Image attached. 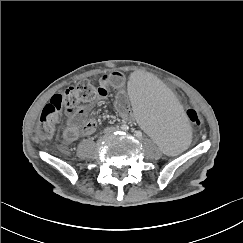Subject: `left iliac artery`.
Listing matches in <instances>:
<instances>
[{
    "label": "left iliac artery",
    "mask_w": 243,
    "mask_h": 243,
    "mask_svg": "<svg viewBox=\"0 0 243 243\" xmlns=\"http://www.w3.org/2000/svg\"><path fill=\"white\" fill-rule=\"evenodd\" d=\"M135 135H136V137H140L141 136V132L140 131H136Z\"/></svg>",
    "instance_id": "obj_1"
}]
</instances>
